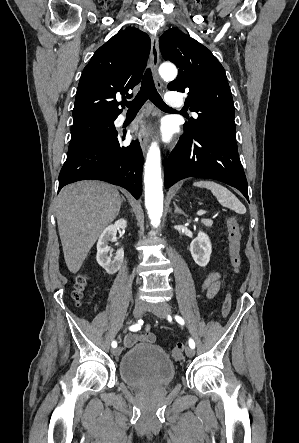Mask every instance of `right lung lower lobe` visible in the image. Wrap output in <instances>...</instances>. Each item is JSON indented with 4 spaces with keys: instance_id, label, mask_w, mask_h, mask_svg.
Instances as JSON below:
<instances>
[{
    "instance_id": "obj_1",
    "label": "right lung lower lobe",
    "mask_w": 299,
    "mask_h": 443,
    "mask_svg": "<svg viewBox=\"0 0 299 443\" xmlns=\"http://www.w3.org/2000/svg\"><path fill=\"white\" fill-rule=\"evenodd\" d=\"M124 138V135L121 137L116 132L69 156L59 174L58 191L69 183L95 179L121 186L139 199L142 193L143 154L138 141H132L127 147L121 146Z\"/></svg>"
}]
</instances>
